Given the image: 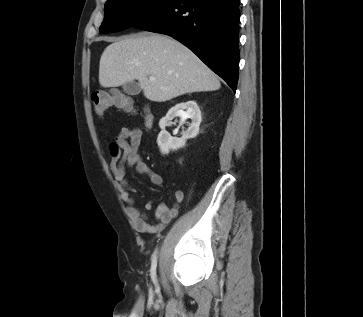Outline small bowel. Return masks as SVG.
<instances>
[{
  "mask_svg": "<svg viewBox=\"0 0 363 317\" xmlns=\"http://www.w3.org/2000/svg\"><path fill=\"white\" fill-rule=\"evenodd\" d=\"M117 141L121 149V158L118 161L120 154L117 157H113L112 169L114 177L122 190V200L127 204V214L137 230L149 233L160 232L178 215L179 206L183 201L184 194L181 190H177L174 193L176 202L171 207L164 204L158 205L155 210V219L150 221L147 214L134 205L135 201L130 195L133 188L126 179L127 169L135 167L139 174H146L155 185H161L163 178L160 174L154 172L138 153L141 142V131L139 129L122 127L117 134ZM145 209H153V202L151 200L145 203Z\"/></svg>",
  "mask_w": 363,
  "mask_h": 317,
  "instance_id": "c3829d8e",
  "label": "small bowel"
}]
</instances>
